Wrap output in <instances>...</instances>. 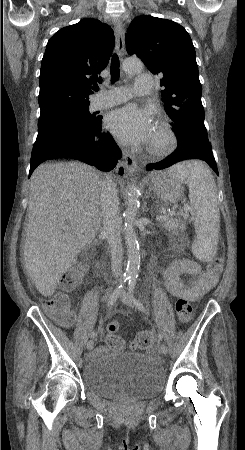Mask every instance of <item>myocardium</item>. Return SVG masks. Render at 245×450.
<instances>
[{"instance_id": "f54148a6", "label": "myocardium", "mask_w": 245, "mask_h": 450, "mask_svg": "<svg viewBox=\"0 0 245 450\" xmlns=\"http://www.w3.org/2000/svg\"><path fill=\"white\" fill-rule=\"evenodd\" d=\"M178 144L177 134L169 121L159 119L149 145V152L155 156H162L173 151Z\"/></svg>"}]
</instances>
